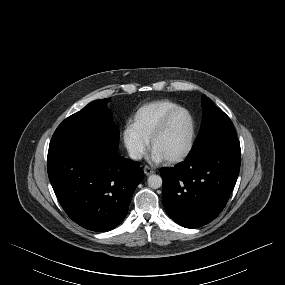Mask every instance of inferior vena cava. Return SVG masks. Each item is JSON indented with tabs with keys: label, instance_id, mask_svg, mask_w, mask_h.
Masks as SVG:
<instances>
[{
	"label": "inferior vena cava",
	"instance_id": "inferior-vena-cava-1",
	"mask_svg": "<svg viewBox=\"0 0 285 285\" xmlns=\"http://www.w3.org/2000/svg\"><path fill=\"white\" fill-rule=\"evenodd\" d=\"M130 158L134 159V160H140L142 159V154L138 151H131L129 153Z\"/></svg>",
	"mask_w": 285,
	"mask_h": 285
}]
</instances>
